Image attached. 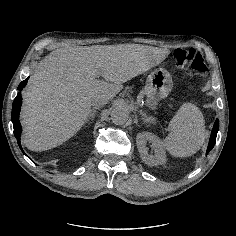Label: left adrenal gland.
Returning a JSON list of instances; mask_svg holds the SVG:
<instances>
[{
  "instance_id": "obj_1",
  "label": "left adrenal gland",
  "mask_w": 236,
  "mask_h": 236,
  "mask_svg": "<svg viewBox=\"0 0 236 236\" xmlns=\"http://www.w3.org/2000/svg\"><path fill=\"white\" fill-rule=\"evenodd\" d=\"M139 114L144 118L145 124H153L155 123V119L153 117H148V115L140 110Z\"/></svg>"
}]
</instances>
